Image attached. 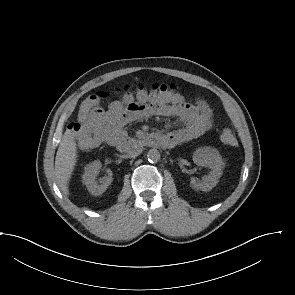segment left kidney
Returning <instances> with one entry per match:
<instances>
[{
  "mask_svg": "<svg viewBox=\"0 0 295 295\" xmlns=\"http://www.w3.org/2000/svg\"><path fill=\"white\" fill-rule=\"evenodd\" d=\"M193 161L198 166L209 167L211 171L209 175L202 178L201 182L191 178V186L201 191L211 190L216 186L222 175L224 162L219 152L210 147L199 148L194 152Z\"/></svg>",
  "mask_w": 295,
  "mask_h": 295,
  "instance_id": "5707ae66",
  "label": "left kidney"
}]
</instances>
